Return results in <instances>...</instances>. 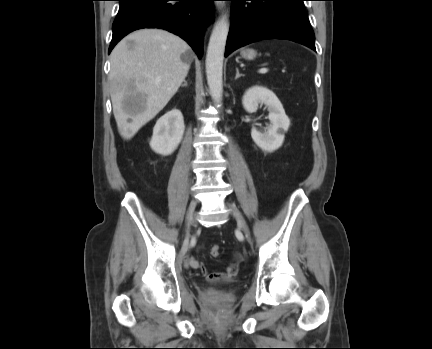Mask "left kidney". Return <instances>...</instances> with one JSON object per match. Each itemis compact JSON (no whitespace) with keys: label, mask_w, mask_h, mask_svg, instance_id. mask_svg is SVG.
<instances>
[{"label":"left kidney","mask_w":432,"mask_h":349,"mask_svg":"<svg viewBox=\"0 0 432 349\" xmlns=\"http://www.w3.org/2000/svg\"><path fill=\"white\" fill-rule=\"evenodd\" d=\"M260 103L267 106L271 125L265 132H260L253 127L251 137L262 150L273 152L282 146L284 133L288 131L290 120L278 97L268 88L256 85L243 95L242 104L248 113L255 112Z\"/></svg>","instance_id":"1"}]
</instances>
